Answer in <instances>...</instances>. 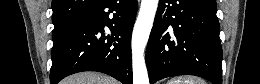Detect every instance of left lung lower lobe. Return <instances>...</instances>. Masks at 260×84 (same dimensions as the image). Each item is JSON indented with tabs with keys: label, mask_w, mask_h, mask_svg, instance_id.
I'll return each instance as SVG.
<instances>
[{
	"label": "left lung lower lobe",
	"mask_w": 260,
	"mask_h": 84,
	"mask_svg": "<svg viewBox=\"0 0 260 84\" xmlns=\"http://www.w3.org/2000/svg\"><path fill=\"white\" fill-rule=\"evenodd\" d=\"M215 0H159L146 65L150 84L195 75L222 84V48Z\"/></svg>",
	"instance_id": "obj_1"
}]
</instances>
